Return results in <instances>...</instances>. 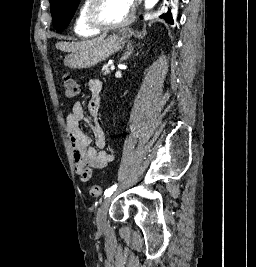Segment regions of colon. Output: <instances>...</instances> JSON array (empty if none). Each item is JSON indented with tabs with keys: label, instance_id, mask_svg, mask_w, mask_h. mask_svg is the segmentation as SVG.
Segmentation results:
<instances>
[{
	"label": "colon",
	"instance_id": "5ec220e1",
	"mask_svg": "<svg viewBox=\"0 0 256 267\" xmlns=\"http://www.w3.org/2000/svg\"><path fill=\"white\" fill-rule=\"evenodd\" d=\"M63 85L65 93L68 97H77L79 95V85L76 80L70 75H65L63 78ZM88 192L93 197H99L103 193L101 185H91L88 188Z\"/></svg>",
	"mask_w": 256,
	"mask_h": 267
}]
</instances>
